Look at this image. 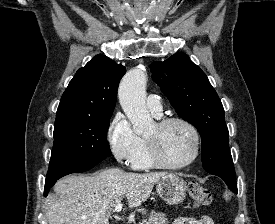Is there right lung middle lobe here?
I'll return each instance as SVG.
<instances>
[{"label":"right lung middle lobe","instance_id":"dd1d6c3e","mask_svg":"<svg viewBox=\"0 0 275 224\" xmlns=\"http://www.w3.org/2000/svg\"><path fill=\"white\" fill-rule=\"evenodd\" d=\"M111 116L56 120L47 177L111 156L107 142Z\"/></svg>","mask_w":275,"mask_h":224}]
</instances>
